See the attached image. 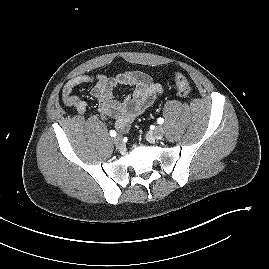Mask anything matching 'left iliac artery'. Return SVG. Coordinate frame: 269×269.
<instances>
[{
  "instance_id": "left-iliac-artery-1",
  "label": "left iliac artery",
  "mask_w": 269,
  "mask_h": 269,
  "mask_svg": "<svg viewBox=\"0 0 269 269\" xmlns=\"http://www.w3.org/2000/svg\"><path fill=\"white\" fill-rule=\"evenodd\" d=\"M157 122H158V124H163L164 119L163 118H158Z\"/></svg>"
}]
</instances>
